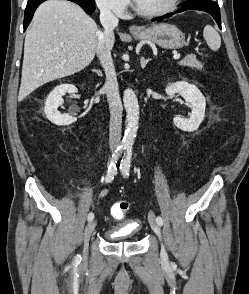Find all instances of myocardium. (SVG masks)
Wrapping results in <instances>:
<instances>
[{"mask_svg": "<svg viewBox=\"0 0 249 294\" xmlns=\"http://www.w3.org/2000/svg\"><path fill=\"white\" fill-rule=\"evenodd\" d=\"M181 1L182 0H173V2L170 4V6H168L167 8L161 9V10L146 11V10L142 9L137 4L136 0H133V9L137 14H139L143 17L154 18V17H160V16L167 15L169 13H172L173 11H175L177 9V7L181 3Z\"/></svg>", "mask_w": 249, "mask_h": 294, "instance_id": "1", "label": "myocardium"}]
</instances>
